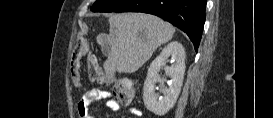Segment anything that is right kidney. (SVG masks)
<instances>
[{"mask_svg": "<svg viewBox=\"0 0 273 118\" xmlns=\"http://www.w3.org/2000/svg\"><path fill=\"white\" fill-rule=\"evenodd\" d=\"M170 56L171 63L174 64L169 67L166 66V62ZM185 58V50L182 44L173 41L167 44L160 55L151 63L143 87V101L149 111L157 115H164L174 106L183 84ZM161 67H164L166 75L171 78L168 88L164 87L165 79L158 74ZM157 82L162 86V97L155 93V84Z\"/></svg>", "mask_w": 273, "mask_h": 118, "instance_id": "obj_1", "label": "right kidney"}]
</instances>
